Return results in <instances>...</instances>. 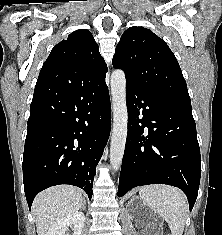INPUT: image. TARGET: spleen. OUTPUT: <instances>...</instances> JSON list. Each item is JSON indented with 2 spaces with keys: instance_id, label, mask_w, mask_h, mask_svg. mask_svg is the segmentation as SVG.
Listing matches in <instances>:
<instances>
[{
  "instance_id": "3e777b00",
  "label": "spleen",
  "mask_w": 222,
  "mask_h": 235,
  "mask_svg": "<svg viewBox=\"0 0 222 235\" xmlns=\"http://www.w3.org/2000/svg\"><path fill=\"white\" fill-rule=\"evenodd\" d=\"M140 197L169 225L172 235H182L189 206L185 195L167 185H150L140 189Z\"/></svg>"
}]
</instances>
